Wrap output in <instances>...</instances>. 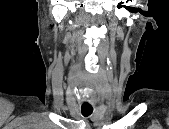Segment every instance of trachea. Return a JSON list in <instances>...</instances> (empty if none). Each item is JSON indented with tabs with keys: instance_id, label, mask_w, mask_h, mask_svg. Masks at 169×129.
<instances>
[{
	"instance_id": "trachea-1",
	"label": "trachea",
	"mask_w": 169,
	"mask_h": 129,
	"mask_svg": "<svg viewBox=\"0 0 169 129\" xmlns=\"http://www.w3.org/2000/svg\"><path fill=\"white\" fill-rule=\"evenodd\" d=\"M93 112V107L92 106H87V105H82L81 107V113L84 117H88L92 114Z\"/></svg>"
}]
</instances>
